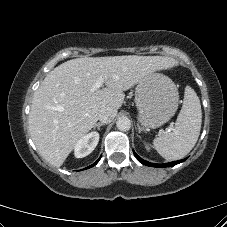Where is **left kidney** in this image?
I'll return each instance as SVG.
<instances>
[{"label":"left kidney","instance_id":"1","mask_svg":"<svg viewBox=\"0 0 227 227\" xmlns=\"http://www.w3.org/2000/svg\"><path fill=\"white\" fill-rule=\"evenodd\" d=\"M146 149H147V150H149V149H150L149 145H146Z\"/></svg>","mask_w":227,"mask_h":227}]
</instances>
